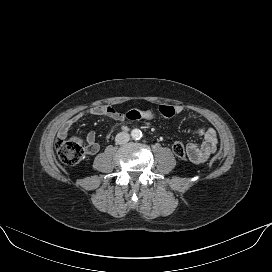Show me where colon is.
Returning <instances> with one entry per match:
<instances>
[{"label":"colon","mask_w":272,"mask_h":272,"mask_svg":"<svg viewBox=\"0 0 272 272\" xmlns=\"http://www.w3.org/2000/svg\"><path fill=\"white\" fill-rule=\"evenodd\" d=\"M176 114L175 107L171 105H160L157 110L152 108L132 109L126 113V119L130 121H156L158 118L170 119ZM55 149L59 160L68 166L76 165L86 158V149L74 140L57 139ZM174 154L181 160H187V153L181 142L173 144Z\"/></svg>","instance_id":"5ec220e1"}]
</instances>
